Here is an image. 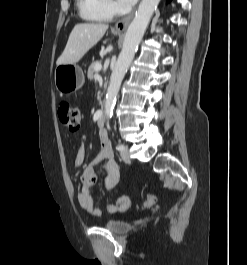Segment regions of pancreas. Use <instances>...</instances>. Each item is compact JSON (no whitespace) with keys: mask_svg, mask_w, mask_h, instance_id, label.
<instances>
[{"mask_svg":"<svg viewBox=\"0 0 247 265\" xmlns=\"http://www.w3.org/2000/svg\"><path fill=\"white\" fill-rule=\"evenodd\" d=\"M97 65H101V61H94L88 68L87 77L92 80L98 76V71L95 69Z\"/></svg>","mask_w":247,"mask_h":265,"instance_id":"1","label":"pancreas"}]
</instances>
